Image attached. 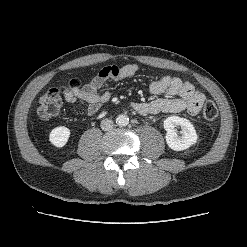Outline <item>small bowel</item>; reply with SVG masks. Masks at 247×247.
Listing matches in <instances>:
<instances>
[{"label":"small bowel","mask_w":247,"mask_h":247,"mask_svg":"<svg viewBox=\"0 0 247 247\" xmlns=\"http://www.w3.org/2000/svg\"><path fill=\"white\" fill-rule=\"evenodd\" d=\"M139 67L136 64L122 66L111 65L104 67L87 84L82 87H73L64 91V99L68 103H87L89 115L96 114L102 104L110 99V92L105 90L99 93L107 81H119L133 76ZM150 92L167 97L154 99L148 102H133L132 108L140 115H155L159 113H180L187 111L197 115L205 101V95L197 90L193 84L182 79L166 75L150 85Z\"/></svg>","instance_id":"1"}]
</instances>
